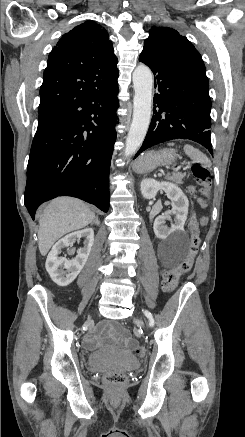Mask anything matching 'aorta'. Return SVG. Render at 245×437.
Here are the masks:
<instances>
[{"mask_svg": "<svg viewBox=\"0 0 245 437\" xmlns=\"http://www.w3.org/2000/svg\"><path fill=\"white\" fill-rule=\"evenodd\" d=\"M133 120L126 139L124 155L134 154L146 136L151 120L153 75L149 67L140 64L133 72Z\"/></svg>", "mask_w": 245, "mask_h": 437, "instance_id": "1", "label": "aorta"}]
</instances>
